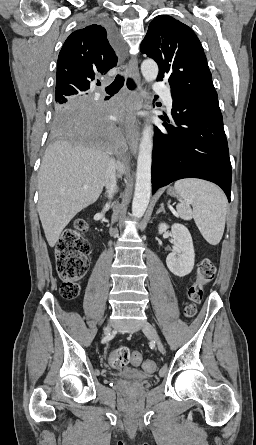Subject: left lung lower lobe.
<instances>
[{
	"label": "left lung lower lobe",
	"mask_w": 256,
	"mask_h": 445,
	"mask_svg": "<svg viewBox=\"0 0 256 445\" xmlns=\"http://www.w3.org/2000/svg\"><path fill=\"white\" fill-rule=\"evenodd\" d=\"M173 124L155 128L152 193L182 178H200L219 185L228 200L231 163L218 102L172 92Z\"/></svg>",
	"instance_id": "0a47b994"
}]
</instances>
